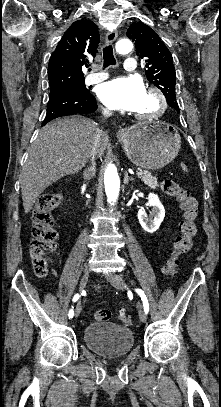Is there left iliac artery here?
Listing matches in <instances>:
<instances>
[{
  "instance_id": "1",
  "label": "left iliac artery",
  "mask_w": 221,
  "mask_h": 407,
  "mask_svg": "<svg viewBox=\"0 0 221 407\" xmlns=\"http://www.w3.org/2000/svg\"><path fill=\"white\" fill-rule=\"evenodd\" d=\"M135 291L141 297V300L143 302L144 311L147 314L149 312V304H148L146 295L144 294V292L141 289H135Z\"/></svg>"
}]
</instances>
